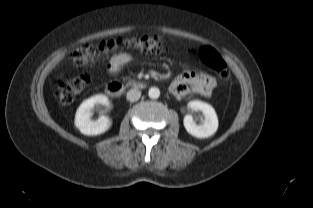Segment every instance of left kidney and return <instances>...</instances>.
<instances>
[{"mask_svg":"<svg viewBox=\"0 0 313 208\" xmlns=\"http://www.w3.org/2000/svg\"><path fill=\"white\" fill-rule=\"evenodd\" d=\"M188 109L195 112H202L204 120L197 125L191 114L184 116L183 124L189 134L197 138H207L213 135L218 129V118L214 108L202 101L193 100L189 102Z\"/></svg>","mask_w":313,"mask_h":208,"instance_id":"5707ae66","label":"left kidney"}]
</instances>
